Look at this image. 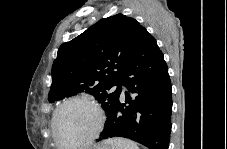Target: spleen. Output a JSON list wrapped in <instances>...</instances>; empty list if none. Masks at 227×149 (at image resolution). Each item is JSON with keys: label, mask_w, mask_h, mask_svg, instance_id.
Listing matches in <instances>:
<instances>
[{"label": "spleen", "mask_w": 227, "mask_h": 149, "mask_svg": "<svg viewBox=\"0 0 227 149\" xmlns=\"http://www.w3.org/2000/svg\"><path fill=\"white\" fill-rule=\"evenodd\" d=\"M111 146V149H139L138 145L125 138H112L106 141Z\"/></svg>", "instance_id": "3e777b00"}]
</instances>
